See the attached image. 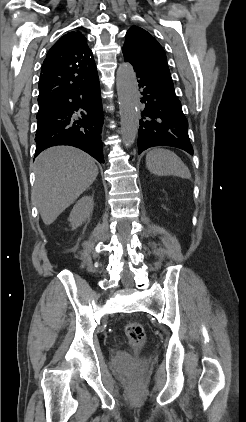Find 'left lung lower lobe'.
Here are the masks:
<instances>
[{
  "mask_svg": "<svg viewBox=\"0 0 246 422\" xmlns=\"http://www.w3.org/2000/svg\"><path fill=\"white\" fill-rule=\"evenodd\" d=\"M134 70L143 95L138 153L154 146H172L193 154L188 122L175 92L144 72L136 68Z\"/></svg>",
  "mask_w": 246,
  "mask_h": 422,
  "instance_id": "left-lung-lower-lobe-1",
  "label": "left lung lower lobe"
}]
</instances>
